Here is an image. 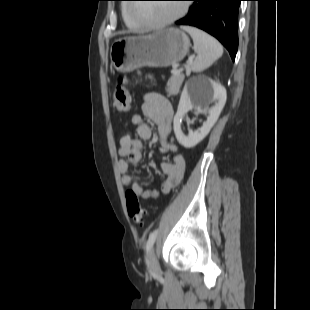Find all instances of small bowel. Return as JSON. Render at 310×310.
<instances>
[{"label": "small bowel", "instance_id": "small-bowel-1", "mask_svg": "<svg viewBox=\"0 0 310 310\" xmlns=\"http://www.w3.org/2000/svg\"><path fill=\"white\" fill-rule=\"evenodd\" d=\"M173 113L172 105L164 96L155 92L148 93L143 97L142 115L133 114L131 116V123L136 129L138 139L127 133L119 140L118 168L122 174V183L143 199L155 198L159 195L158 190L144 189L142 179L128 173L130 163H137L142 158L141 141L148 140L152 135V128L143 122V116L156 125L160 147L173 154L172 161L165 160L161 163V169L166 178L161 184L160 191L163 194H169L184 178L185 159L177 145L169 140Z\"/></svg>", "mask_w": 310, "mask_h": 310}]
</instances>
